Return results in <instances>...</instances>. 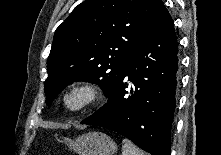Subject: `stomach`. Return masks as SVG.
Wrapping results in <instances>:
<instances>
[{
	"label": "stomach",
	"mask_w": 221,
	"mask_h": 155,
	"mask_svg": "<svg viewBox=\"0 0 221 155\" xmlns=\"http://www.w3.org/2000/svg\"><path fill=\"white\" fill-rule=\"evenodd\" d=\"M64 142L78 155H115L117 152L116 143L101 132H89L73 140L65 138Z\"/></svg>",
	"instance_id": "1"
}]
</instances>
